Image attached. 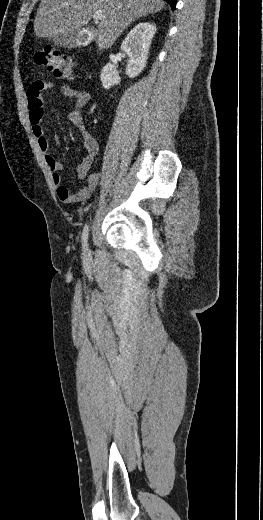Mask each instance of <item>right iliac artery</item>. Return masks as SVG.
I'll return each instance as SVG.
<instances>
[{
	"instance_id": "82829eb1",
	"label": "right iliac artery",
	"mask_w": 263,
	"mask_h": 520,
	"mask_svg": "<svg viewBox=\"0 0 263 520\" xmlns=\"http://www.w3.org/2000/svg\"><path fill=\"white\" fill-rule=\"evenodd\" d=\"M88 234H89V226L86 224L84 226V229H83V234H82V246H83V249L84 251L87 250V239H88Z\"/></svg>"
}]
</instances>
